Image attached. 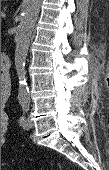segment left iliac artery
Instances as JSON below:
<instances>
[{"mask_svg":"<svg viewBox=\"0 0 109 170\" xmlns=\"http://www.w3.org/2000/svg\"><path fill=\"white\" fill-rule=\"evenodd\" d=\"M22 107H23V112L25 113V112L28 110V106H27L26 104H23ZM24 120H25V117H24V116H21V117L19 118V124L22 125L23 122H24Z\"/></svg>","mask_w":109,"mask_h":170,"instance_id":"left-iliac-artery-1","label":"left iliac artery"}]
</instances>
